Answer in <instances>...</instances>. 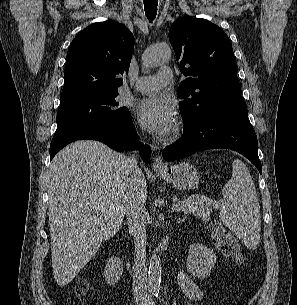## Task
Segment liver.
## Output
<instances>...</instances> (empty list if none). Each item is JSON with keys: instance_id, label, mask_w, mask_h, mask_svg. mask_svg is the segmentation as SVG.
Returning <instances> with one entry per match:
<instances>
[{"instance_id": "liver-1", "label": "liver", "mask_w": 297, "mask_h": 305, "mask_svg": "<svg viewBox=\"0 0 297 305\" xmlns=\"http://www.w3.org/2000/svg\"><path fill=\"white\" fill-rule=\"evenodd\" d=\"M126 156L93 140H79L53 158L48 172V217L54 279L69 284L115 235L125 215ZM146 200L144 175L138 182Z\"/></svg>"}]
</instances>
